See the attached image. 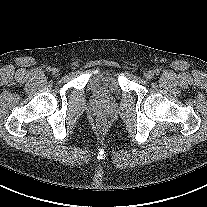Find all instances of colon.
<instances>
[{"label": "colon", "instance_id": "obj_1", "mask_svg": "<svg viewBox=\"0 0 207 207\" xmlns=\"http://www.w3.org/2000/svg\"><path fill=\"white\" fill-rule=\"evenodd\" d=\"M98 125L99 126H103L104 125V120L103 119H99L98 120Z\"/></svg>", "mask_w": 207, "mask_h": 207}]
</instances>
